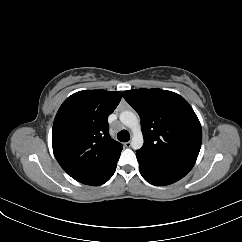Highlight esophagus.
<instances>
[{
    "instance_id": "1",
    "label": "esophagus",
    "mask_w": 242,
    "mask_h": 242,
    "mask_svg": "<svg viewBox=\"0 0 242 242\" xmlns=\"http://www.w3.org/2000/svg\"><path fill=\"white\" fill-rule=\"evenodd\" d=\"M124 146H125L126 148H129V147L131 146V142H130V141L125 142V143H124Z\"/></svg>"
}]
</instances>
